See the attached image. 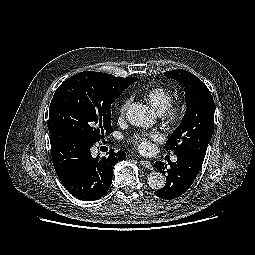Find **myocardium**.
I'll list each match as a JSON object with an SVG mask.
<instances>
[{
    "label": "myocardium",
    "mask_w": 255,
    "mask_h": 255,
    "mask_svg": "<svg viewBox=\"0 0 255 255\" xmlns=\"http://www.w3.org/2000/svg\"><path fill=\"white\" fill-rule=\"evenodd\" d=\"M186 111H187V107L185 103L178 101V102H172L161 114L164 121L170 127L176 128L183 121L186 115Z\"/></svg>",
    "instance_id": "f54148a6"
}]
</instances>
